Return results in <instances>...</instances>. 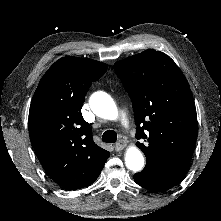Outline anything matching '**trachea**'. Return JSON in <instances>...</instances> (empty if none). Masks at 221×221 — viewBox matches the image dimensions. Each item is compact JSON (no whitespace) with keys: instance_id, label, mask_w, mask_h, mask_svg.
I'll use <instances>...</instances> for the list:
<instances>
[{"instance_id":"trachea-1","label":"trachea","mask_w":221,"mask_h":221,"mask_svg":"<svg viewBox=\"0 0 221 221\" xmlns=\"http://www.w3.org/2000/svg\"><path fill=\"white\" fill-rule=\"evenodd\" d=\"M102 141L106 143H115L117 141V134L113 130H107L103 133Z\"/></svg>"}]
</instances>
